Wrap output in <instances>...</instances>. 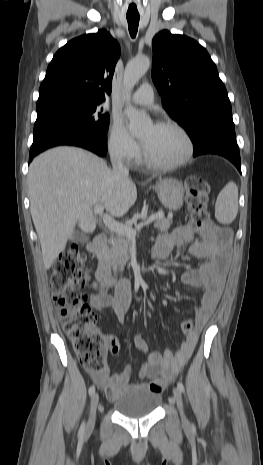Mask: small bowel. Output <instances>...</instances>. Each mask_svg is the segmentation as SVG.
<instances>
[{
  "instance_id": "1",
  "label": "small bowel",
  "mask_w": 263,
  "mask_h": 465,
  "mask_svg": "<svg viewBox=\"0 0 263 465\" xmlns=\"http://www.w3.org/2000/svg\"><path fill=\"white\" fill-rule=\"evenodd\" d=\"M229 243L230 234L227 231L215 228L201 231L190 224L178 226L171 233L158 237L153 249L156 258H167L172 249L178 246L187 247L189 254L204 260L199 267L188 270L182 276L184 285L204 291L200 303L193 305L197 328L186 335L185 341L177 351L166 350L163 353L149 352L145 340L137 336L134 346L143 356L138 381H132L130 366L114 374L107 368L101 372H92L93 380L106 392L110 401L116 400L136 385H146L149 389L161 393L168 382L179 374L194 351L200 330L210 319L219 302L225 282ZM90 302L98 310L111 309L117 319L123 322L130 307L129 280L122 279L118 282L114 296L100 293L91 296ZM106 343L113 354L120 353V342L116 337L107 336Z\"/></svg>"
}]
</instances>
